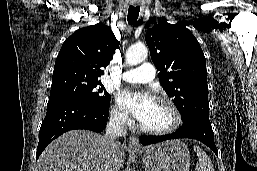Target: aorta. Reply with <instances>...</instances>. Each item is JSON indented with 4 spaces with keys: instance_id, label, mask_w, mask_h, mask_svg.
<instances>
[{
    "instance_id": "aorta-1",
    "label": "aorta",
    "mask_w": 257,
    "mask_h": 171,
    "mask_svg": "<svg viewBox=\"0 0 257 171\" xmlns=\"http://www.w3.org/2000/svg\"><path fill=\"white\" fill-rule=\"evenodd\" d=\"M148 55L145 45L139 44L130 47L126 52V61L129 65H137L144 61Z\"/></svg>"
}]
</instances>
